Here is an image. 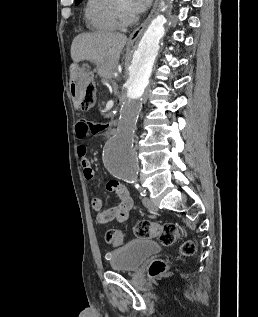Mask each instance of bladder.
I'll return each instance as SVG.
<instances>
[{
	"label": "bladder",
	"mask_w": 258,
	"mask_h": 317,
	"mask_svg": "<svg viewBox=\"0 0 258 317\" xmlns=\"http://www.w3.org/2000/svg\"><path fill=\"white\" fill-rule=\"evenodd\" d=\"M160 250V245L154 241L134 239L111 251L109 264L114 271H134Z\"/></svg>",
	"instance_id": "1"
}]
</instances>
